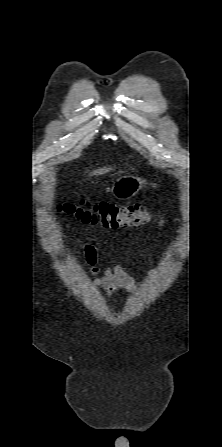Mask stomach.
<instances>
[{
    "instance_id": "stomach-1",
    "label": "stomach",
    "mask_w": 222,
    "mask_h": 447,
    "mask_svg": "<svg viewBox=\"0 0 222 447\" xmlns=\"http://www.w3.org/2000/svg\"><path fill=\"white\" fill-rule=\"evenodd\" d=\"M145 184L146 180L141 177L122 175L113 181L110 187V192L114 198L118 200H129L135 196Z\"/></svg>"
}]
</instances>
